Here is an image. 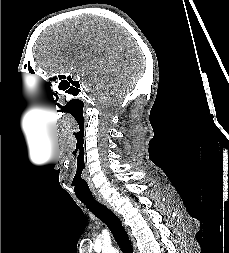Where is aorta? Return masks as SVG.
I'll list each match as a JSON object with an SVG mask.
<instances>
[{"label":"aorta","instance_id":"1","mask_svg":"<svg viewBox=\"0 0 229 253\" xmlns=\"http://www.w3.org/2000/svg\"><path fill=\"white\" fill-rule=\"evenodd\" d=\"M102 253H119V252L114 248H104Z\"/></svg>","mask_w":229,"mask_h":253}]
</instances>
